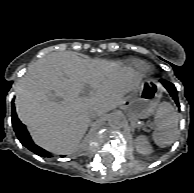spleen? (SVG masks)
<instances>
[{"label": "spleen", "mask_w": 194, "mask_h": 193, "mask_svg": "<svg viewBox=\"0 0 194 193\" xmlns=\"http://www.w3.org/2000/svg\"><path fill=\"white\" fill-rule=\"evenodd\" d=\"M155 123L156 128L152 135L154 142L160 147L171 145L178 131V115L169 103L159 105Z\"/></svg>", "instance_id": "spleen-1"}]
</instances>
